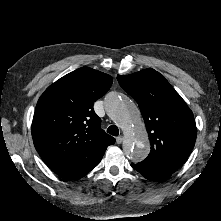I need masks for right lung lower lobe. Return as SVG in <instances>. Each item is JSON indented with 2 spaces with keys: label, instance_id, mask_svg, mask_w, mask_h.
Instances as JSON below:
<instances>
[{
  "label": "right lung lower lobe",
  "instance_id": "1",
  "mask_svg": "<svg viewBox=\"0 0 221 221\" xmlns=\"http://www.w3.org/2000/svg\"><path fill=\"white\" fill-rule=\"evenodd\" d=\"M107 147V145L99 144L72 153L47 165L59 176L67 180H77L99 164Z\"/></svg>",
  "mask_w": 221,
  "mask_h": 221
}]
</instances>
